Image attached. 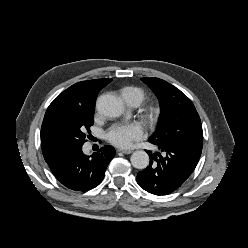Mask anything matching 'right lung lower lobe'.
<instances>
[{
  "mask_svg": "<svg viewBox=\"0 0 248 248\" xmlns=\"http://www.w3.org/2000/svg\"><path fill=\"white\" fill-rule=\"evenodd\" d=\"M82 145L68 147L47 162L58 181L74 191H87L98 186L116 153L113 147L104 146L87 156L82 151Z\"/></svg>",
  "mask_w": 248,
  "mask_h": 248,
  "instance_id": "right-lung-lower-lobe-1",
  "label": "right lung lower lobe"
}]
</instances>
